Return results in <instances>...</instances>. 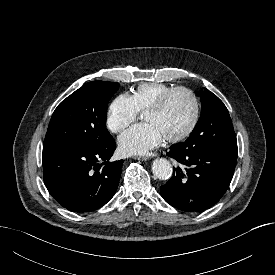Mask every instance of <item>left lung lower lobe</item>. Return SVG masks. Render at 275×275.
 Segmentation results:
<instances>
[{
  "label": "left lung lower lobe",
  "instance_id": "1",
  "mask_svg": "<svg viewBox=\"0 0 275 275\" xmlns=\"http://www.w3.org/2000/svg\"><path fill=\"white\" fill-rule=\"evenodd\" d=\"M167 155L186 166L174 169L170 180L160 187L171 206L199 212L215 205L228 189L235 170L237 150L199 147H170Z\"/></svg>",
  "mask_w": 275,
  "mask_h": 275
}]
</instances>
